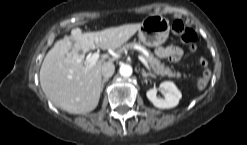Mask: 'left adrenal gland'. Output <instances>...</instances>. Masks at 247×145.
I'll list each match as a JSON object with an SVG mask.
<instances>
[{
	"instance_id": "obj_1",
	"label": "left adrenal gland",
	"mask_w": 247,
	"mask_h": 145,
	"mask_svg": "<svg viewBox=\"0 0 247 145\" xmlns=\"http://www.w3.org/2000/svg\"><path fill=\"white\" fill-rule=\"evenodd\" d=\"M142 76L144 78H147V77H155V75H153L151 73H146L145 70H142Z\"/></svg>"
}]
</instances>
